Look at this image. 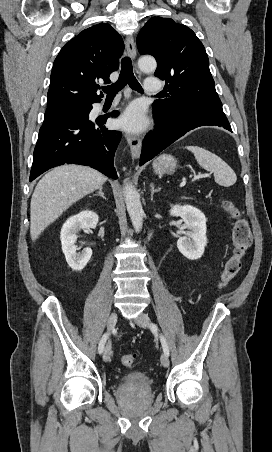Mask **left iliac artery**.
<instances>
[{
	"label": "left iliac artery",
	"mask_w": 272,
	"mask_h": 452,
	"mask_svg": "<svg viewBox=\"0 0 272 452\" xmlns=\"http://www.w3.org/2000/svg\"><path fill=\"white\" fill-rule=\"evenodd\" d=\"M152 330H157V326L155 324H152ZM160 339H161V344H162L164 353L167 356H169V347H168L165 337L163 335H161Z\"/></svg>",
	"instance_id": "44dca946"
}]
</instances>
